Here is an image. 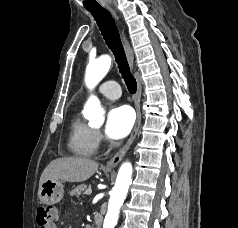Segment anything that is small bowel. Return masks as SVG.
Instances as JSON below:
<instances>
[{"label": "small bowel", "mask_w": 238, "mask_h": 228, "mask_svg": "<svg viewBox=\"0 0 238 228\" xmlns=\"http://www.w3.org/2000/svg\"><path fill=\"white\" fill-rule=\"evenodd\" d=\"M50 228H57V227H56V224L53 223L52 226H51Z\"/></svg>", "instance_id": "small-bowel-1"}]
</instances>
